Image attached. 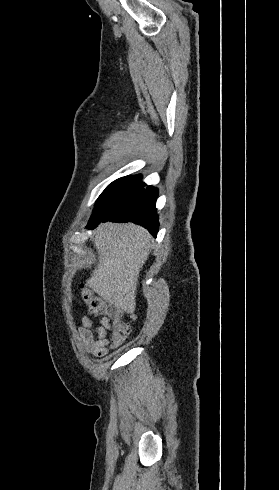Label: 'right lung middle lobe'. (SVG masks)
<instances>
[{
  "mask_svg": "<svg viewBox=\"0 0 279 490\" xmlns=\"http://www.w3.org/2000/svg\"><path fill=\"white\" fill-rule=\"evenodd\" d=\"M141 175L126 176L116 181L112 182L107 188L102 192L95 203L93 214L90 220L97 219L101 217L107 210L108 203L112 198L118 195L120 192L129 189L131 187L143 184L141 181Z\"/></svg>",
  "mask_w": 279,
  "mask_h": 490,
  "instance_id": "1",
  "label": "right lung middle lobe"
}]
</instances>
